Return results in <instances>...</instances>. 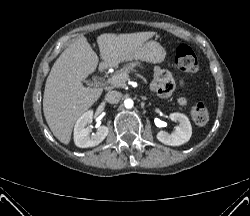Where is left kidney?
Returning <instances> with one entry per match:
<instances>
[{
	"mask_svg": "<svg viewBox=\"0 0 250 216\" xmlns=\"http://www.w3.org/2000/svg\"><path fill=\"white\" fill-rule=\"evenodd\" d=\"M169 118L178 122L172 133L160 131L157 139L165 145L180 146L188 142L192 135V126L188 117L182 113H171Z\"/></svg>",
	"mask_w": 250,
	"mask_h": 216,
	"instance_id": "left-kidney-1",
	"label": "left kidney"
}]
</instances>
